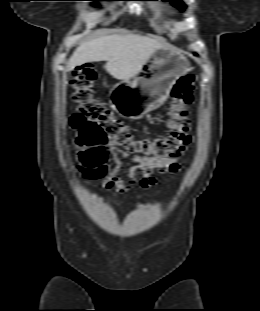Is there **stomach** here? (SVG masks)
Listing matches in <instances>:
<instances>
[{"label": "stomach", "instance_id": "0dacf381", "mask_svg": "<svg viewBox=\"0 0 260 311\" xmlns=\"http://www.w3.org/2000/svg\"><path fill=\"white\" fill-rule=\"evenodd\" d=\"M191 71L182 51L174 48L156 50L132 81H122L110 90L111 104L128 119H141L168 99L176 81Z\"/></svg>", "mask_w": 260, "mask_h": 311}]
</instances>
